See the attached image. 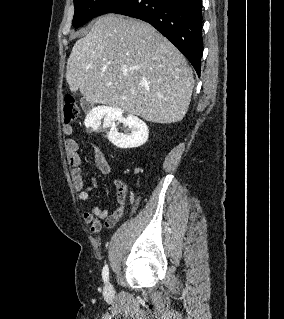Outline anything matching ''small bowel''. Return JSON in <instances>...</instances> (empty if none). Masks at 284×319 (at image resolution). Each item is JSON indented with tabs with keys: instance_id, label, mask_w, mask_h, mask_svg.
<instances>
[{
	"instance_id": "obj_1",
	"label": "small bowel",
	"mask_w": 284,
	"mask_h": 319,
	"mask_svg": "<svg viewBox=\"0 0 284 319\" xmlns=\"http://www.w3.org/2000/svg\"><path fill=\"white\" fill-rule=\"evenodd\" d=\"M72 127L65 125L63 132L65 135L72 134ZM94 155V164L96 168L104 175L110 176L112 174L111 166L103 150L96 144L91 143ZM66 157L68 164L72 167L71 177L74 188L78 192V198L81 202H87L90 199V193L97 189L98 184L95 179L90 178L88 181L82 176V161L79 154L78 142L73 138H67L64 143ZM126 189L124 186H119L117 192V208L110 213L107 209L94 206L90 211L83 213V220L90 225L92 233L98 234L102 228H113L124 213L126 202Z\"/></svg>"
}]
</instances>
